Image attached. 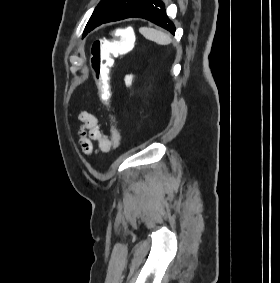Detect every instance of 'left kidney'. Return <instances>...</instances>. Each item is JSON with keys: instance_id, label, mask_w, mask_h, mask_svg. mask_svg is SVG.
<instances>
[{"instance_id": "5707ae66", "label": "left kidney", "mask_w": 280, "mask_h": 283, "mask_svg": "<svg viewBox=\"0 0 280 283\" xmlns=\"http://www.w3.org/2000/svg\"><path fill=\"white\" fill-rule=\"evenodd\" d=\"M132 80H133V76H132V75H127V76L125 77V84H126L127 87H128V86H131Z\"/></svg>"}]
</instances>
